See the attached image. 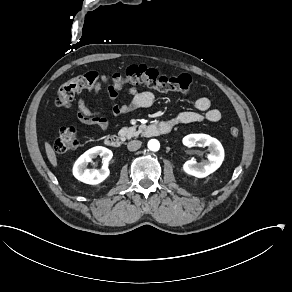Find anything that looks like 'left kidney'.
<instances>
[{
	"instance_id": "left-kidney-1",
	"label": "left kidney",
	"mask_w": 292,
	"mask_h": 292,
	"mask_svg": "<svg viewBox=\"0 0 292 292\" xmlns=\"http://www.w3.org/2000/svg\"><path fill=\"white\" fill-rule=\"evenodd\" d=\"M183 143L187 147H193L195 144L206 146L210 153L207 154V160L203 164L195 160H189L182 164V170L191 176L204 178L214 173L223 163L224 149L221 143L205 134H190L184 137Z\"/></svg>"
}]
</instances>
